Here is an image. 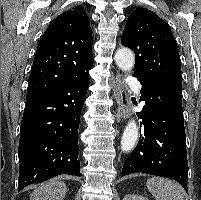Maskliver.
<instances>
[{
    "label": "liver",
    "mask_w": 201,
    "mask_h": 200,
    "mask_svg": "<svg viewBox=\"0 0 201 200\" xmlns=\"http://www.w3.org/2000/svg\"><path fill=\"white\" fill-rule=\"evenodd\" d=\"M66 192L64 182L51 180L35 189L30 195V200H63Z\"/></svg>",
    "instance_id": "obj_1"
}]
</instances>
